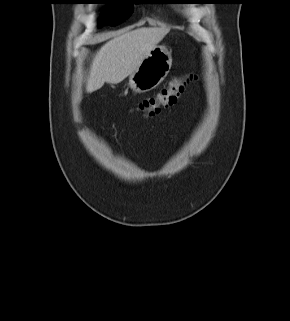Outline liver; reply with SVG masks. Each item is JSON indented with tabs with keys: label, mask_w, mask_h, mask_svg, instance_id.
<instances>
[{
	"label": "liver",
	"mask_w": 290,
	"mask_h": 321,
	"mask_svg": "<svg viewBox=\"0 0 290 321\" xmlns=\"http://www.w3.org/2000/svg\"><path fill=\"white\" fill-rule=\"evenodd\" d=\"M165 26L138 28L117 33L95 55L86 82V92L104 83L117 84L132 74L150 51L167 35Z\"/></svg>",
	"instance_id": "1"
}]
</instances>
